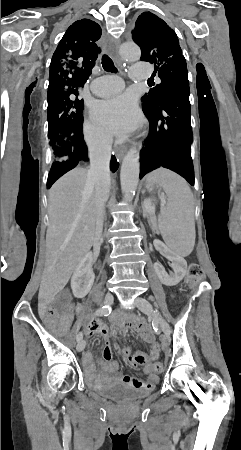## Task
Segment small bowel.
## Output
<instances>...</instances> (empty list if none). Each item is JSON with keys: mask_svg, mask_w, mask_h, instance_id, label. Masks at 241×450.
Segmentation results:
<instances>
[{"mask_svg": "<svg viewBox=\"0 0 241 450\" xmlns=\"http://www.w3.org/2000/svg\"><path fill=\"white\" fill-rule=\"evenodd\" d=\"M54 305L55 304L53 302L51 303L48 300H43L41 302L42 310H36L35 312L36 319H56L59 314L52 308ZM61 316L66 319H73L75 317V312L73 310H66L61 313ZM46 325L50 327L52 324L48 322ZM70 325V322L67 320H57L55 322V327L57 329H67ZM78 326L80 328H85L87 335L96 334L102 337L105 342L102 352L103 360L100 363L99 371L96 370L91 354H84L86 370L92 376L93 381L97 385L120 384L126 387L142 390L143 392H150L154 389L159 379L152 364L159 357L160 345L151 329L149 331H140L136 328L135 322L124 324V329L132 330L138 333L141 340L150 345L149 353L137 351L131 355L129 346H123L120 349V354L128 363L134 366L143 367V373L147 376V378L142 379L118 372V363L111 360V348L108 341L111 332L104 323L96 319H80L78 321Z\"/></svg>", "mask_w": 241, "mask_h": 450, "instance_id": "c3829d8e", "label": "small bowel"}]
</instances>
